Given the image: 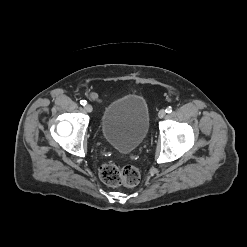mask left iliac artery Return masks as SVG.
Here are the masks:
<instances>
[{"label":"left iliac artery","instance_id":"obj_1","mask_svg":"<svg viewBox=\"0 0 247 247\" xmlns=\"http://www.w3.org/2000/svg\"><path fill=\"white\" fill-rule=\"evenodd\" d=\"M165 111H166V113H171L172 112V107L171 106L167 107Z\"/></svg>","mask_w":247,"mask_h":247}]
</instances>
